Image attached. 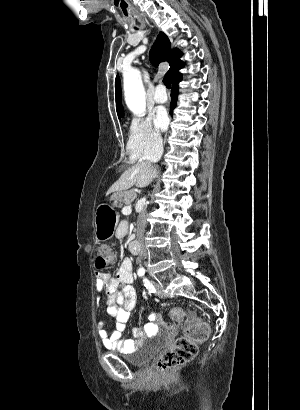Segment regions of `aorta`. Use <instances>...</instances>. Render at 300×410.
Segmentation results:
<instances>
[{
	"instance_id": "aorta-1",
	"label": "aorta",
	"mask_w": 300,
	"mask_h": 410,
	"mask_svg": "<svg viewBox=\"0 0 300 410\" xmlns=\"http://www.w3.org/2000/svg\"><path fill=\"white\" fill-rule=\"evenodd\" d=\"M125 102L129 110L137 115L145 114V89L142 82L141 73L138 69L132 68L123 73Z\"/></svg>"
}]
</instances>
